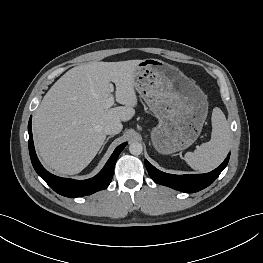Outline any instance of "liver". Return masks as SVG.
Returning <instances> with one entry per match:
<instances>
[{
    "label": "liver",
    "mask_w": 263,
    "mask_h": 263,
    "mask_svg": "<svg viewBox=\"0 0 263 263\" xmlns=\"http://www.w3.org/2000/svg\"><path fill=\"white\" fill-rule=\"evenodd\" d=\"M139 62H89L54 83L33 120L36 148L46 166L60 175L81 172L104 144V127L135 115L134 72ZM110 82L116 85V101L124 106L106 108Z\"/></svg>",
    "instance_id": "6515ba94"
}]
</instances>
